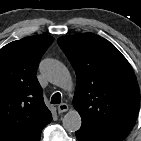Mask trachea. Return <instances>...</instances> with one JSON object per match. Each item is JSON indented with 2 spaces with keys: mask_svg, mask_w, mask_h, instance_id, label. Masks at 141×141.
<instances>
[{
  "mask_svg": "<svg viewBox=\"0 0 141 141\" xmlns=\"http://www.w3.org/2000/svg\"><path fill=\"white\" fill-rule=\"evenodd\" d=\"M52 104H59L61 103V94L59 92L55 93L51 98Z\"/></svg>",
  "mask_w": 141,
  "mask_h": 141,
  "instance_id": "1",
  "label": "trachea"
}]
</instances>
